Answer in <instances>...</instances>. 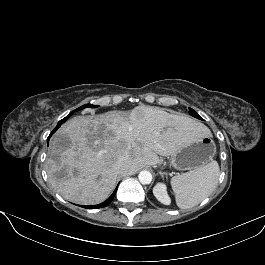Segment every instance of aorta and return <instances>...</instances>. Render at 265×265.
Masks as SVG:
<instances>
[{"mask_svg":"<svg viewBox=\"0 0 265 265\" xmlns=\"http://www.w3.org/2000/svg\"><path fill=\"white\" fill-rule=\"evenodd\" d=\"M141 184H150L152 181V174L149 171H141L138 175Z\"/></svg>","mask_w":265,"mask_h":265,"instance_id":"aorta-1","label":"aorta"}]
</instances>
